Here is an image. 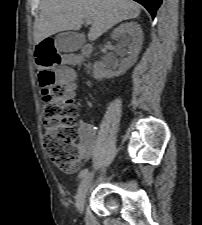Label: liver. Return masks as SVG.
<instances>
[{
	"instance_id": "1",
	"label": "liver",
	"mask_w": 202,
	"mask_h": 225,
	"mask_svg": "<svg viewBox=\"0 0 202 225\" xmlns=\"http://www.w3.org/2000/svg\"><path fill=\"white\" fill-rule=\"evenodd\" d=\"M140 15V6L131 0H43L39 18L34 24V41L67 30H79L84 19L92 26L89 41H95L123 20Z\"/></svg>"
}]
</instances>
